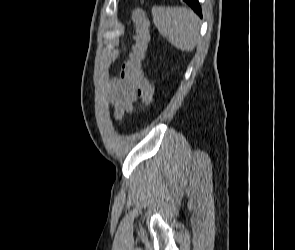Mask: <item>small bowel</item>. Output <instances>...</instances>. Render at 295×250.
Wrapping results in <instances>:
<instances>
[{
    "label": "small bowel",
    "mask_w": 295,
    "mask_h": 250,
    "mask_svg": "<svg viewBox=\"0 0 295 250\" xmlns=\"http://www.w3.org/2000/svg\"><path fill=\"white\" fill-rule=\"evenodd\" d=\"M138 94L132 84L119 77L113 81L110 92V103L113 109L114 118L122 122L125 114L135 110L134 103Z\"/></svg>",
    "instance_id": "c3829d8e"
}]
</instances>
